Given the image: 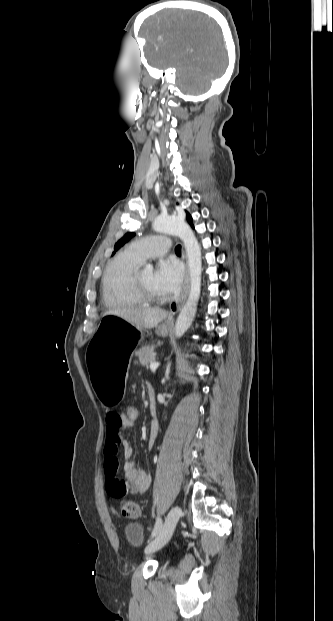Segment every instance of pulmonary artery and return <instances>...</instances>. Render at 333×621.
Listing matches in <instances>:
<instances>
[{
	"mask_svg": "<svg viewBox=\"0 0 333 621\" xmlns=\"http://www.w3.org/2000/svg\"><path fill=\"white\" fill-rule=\"evenodd\" d=\"M169 249V238L157 235L134 241L129 245L127 252L142 263L148 258H155L165 254Z\"/></svg>",
	"mask_w": 333,
	"mask_h": 621,
	"instance_id": "obj_1",
	"label": "pulmonary artery"
}]
</instances>
